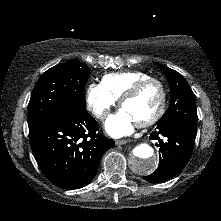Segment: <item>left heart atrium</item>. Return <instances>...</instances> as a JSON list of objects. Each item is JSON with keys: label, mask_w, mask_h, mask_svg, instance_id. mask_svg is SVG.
I'll return each instance as SVG.
<instances>
[{"label": "left heart atrium", "mask_w": 221, "mask_h": 221, "mask_svg": "<svg viewBox=\"0 0 221 221\" xmlns=\"http://www.w3.org/2000/svg\"><path fill=\"white\" fill-rule=\"evenodd\" d=\"M136 124L137 122L121 109L107 119L105 129L112 137L119 138L131 134Z\"/></svg>", "instance_id": "left-heart-atrium-1"}]
</instances>
